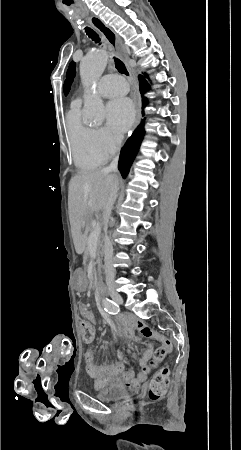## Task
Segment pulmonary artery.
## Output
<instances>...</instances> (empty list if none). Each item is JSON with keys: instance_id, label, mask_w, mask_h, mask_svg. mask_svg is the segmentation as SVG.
I'll use <instances>...</instances> for the list:
<instances>
[{"instance_id": "obj_1", "label": "pulmonary artery", "mask_w": 241, "mask_h": 450, "mask_svg": "<svg viewBox=\"0 0 241 450\" xmlns=\"http://www.w3.org/2000/svg\"><path fill=\"white\" fill-rule=\"evenodd\" d=\"M128 90L125 78L120 74H102L97 91L104 102H117L118 95ZM80 100V98H79Z\"/></svg>"}]
</instances>
